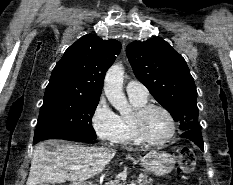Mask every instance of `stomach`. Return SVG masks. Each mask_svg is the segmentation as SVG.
<instances>
[{
	"instance_id": "obj_1",
	"label": "stomach",
	"mask_w": 233,
	"mask_h": 185,
	"mask_svg": "<svg viewBox=\"0 0 233 185\" xmlns=\"http://www.w3.org/2000/svg\"><path fill=\"white\" fill-rule=\"evenodd\" d=\"M175 158L164 151H150L141 159V165L146 172L163 176L170 173L175 166ZM80 185H87L81 183Z\"/></svg>"
}]
</instances>
